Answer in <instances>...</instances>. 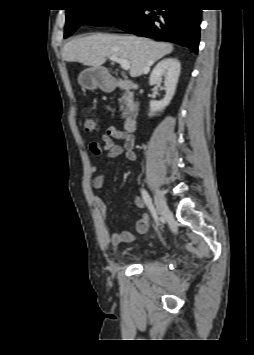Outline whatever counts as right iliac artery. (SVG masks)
Here are the masks:
<instances>
[{
  "label": "right iliac artery",
  "mask_w": 254,
  "mask_h": 355,
  "mask_svg": "<svg viewBox=\"0 0 254 355\" xmlns=\"http://www.w3.org/2000/svg\"><path fill=\"white\" fill-rule=\"evenodd\" d=\"M141 193H142V197H143V199H144V201H145V204L147 205V207H148V209H149V211H150L152 217H153V218L155 219V221L157 222L156 209L154 208V205H153V203H152V200H151L149 194H148L147 191L144 190V189H142Z\"/></svg>",
  "instance_id": "obj_1"
}]
</instances>
